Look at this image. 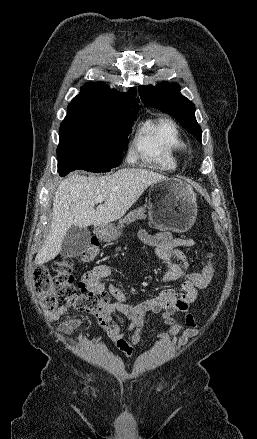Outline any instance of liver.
<instances>
[{
	"instance_id": "obj_1",
	"label": "liver",
	"mask_w": 257,
	"mask_h": 439,
	"mask_svg": "<svg viewBox=\"0 0 257 439\" xmlns=\"http://www.w3.org/2000/svg\"><path fill=\"white\" fill-rule=\"evenodd\" d=\"M165 178L137 168H124L101 177L73 172L55 193L51 229L35 258L36 264L48 262L60 253L62 241L72 226L86 228L120 219L150 185ZM99 195L104 196V203L95 208Z\"/></svg>"
}]
</instances>
